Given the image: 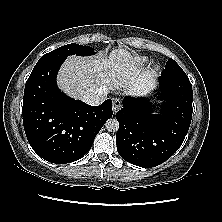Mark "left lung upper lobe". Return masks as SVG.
Instances as JSON below:
<instances>
[{
    "mask_svg": "<svg viewBox=\"0 0 222 222\" xmlns=\"http://www.w3.org/2000/svg\"><path fill=\"white\" fill-rule=\"evenodd\" d=\"M161 76L187 77L182 68L173 59H168Z\"/></svg>",
    "mask_w": 222,
    "mask_h": 222,
    "instance_id": "obj_1",
    "label": "left lung upper lobe"
}]
</instances>
